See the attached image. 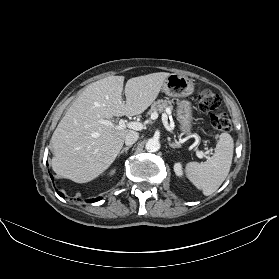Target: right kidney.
Instances as JSON below:
<instances>
[{
    "label": "right kidney",
    "instance_id": "ca27d5eb",
    "mask_svg": "<svg viewBox=\"0 0 279 279\" xmlns=\"http://www.w3.org/2000/svg\"><path fill=\"white\" fill-rule=\"evenodd\" d=\"M115 171H116L115 169L111 170L110 173H109V175H110V176L113 175V174L115 173Z\"/></svg>",
    "mask_w": 279,
    "mask_h": 279
}]
</instances>
